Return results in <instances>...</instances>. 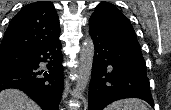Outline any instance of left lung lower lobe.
Segmentation results:
<instances>
[{
	"instance_id": "0a47b994",
	"label": "left lung lower lobe",
	"mask_w": 171,
	"mask_h": 110,
	"mask_svg": "<svg viewBox=\"0 0 171 110\" xmlns=\"http://www.w3.org/2000/svg\"><path fill=\"white\" fill-rule=\"evenodd\" d=\"M89 32L95 46L89 110H103L111 102L129 97L154 107L140 46L110 33L92 18Z\"/></svg>"
}]
</instances>
